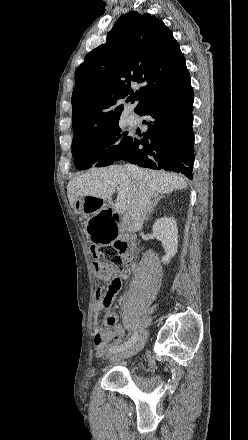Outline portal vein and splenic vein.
<instances>
[{
	"instance_id": "18ae733b",
	"label": "portal vein and splenic vein",
	"mask_w": 248,
	"mask_h": 440,
	"mask_svg": "<svg viewBox=\"0 0 248 440\" xmlns=\"http://www.w3.org/2000/svg\"><path fill=\"white\" fill-rule=\"evenodd\" d=\"M114 208H115L116 211H119V212H122V211L125 210L124 206L120 202H117L115 204Z\"/></svg>"
}]
</instances>
